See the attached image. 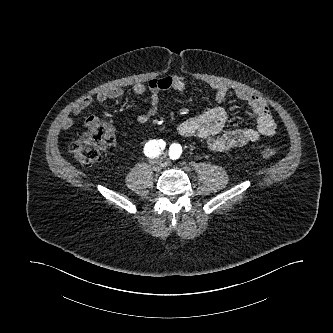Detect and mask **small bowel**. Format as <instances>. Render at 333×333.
Segmentation results:
<instances>
[{
  "mask_svg": "<svg viewBox=\"0 0 333 333\" xmlns=\"http://www.w3.org/2000/svg\"><path fill=\"white\" fill-rule=\"evenodd\" d=\"M211 88L215 92V100L222 103L229 93V88L224 84L213 83ZM174 90L182 93L186 90V82L182 76L166 75L151 79L147 85L137 83L133 87V92L137 95L149 94V107L146 111L138 115L140 123H146L158 113L160 92ZM235 96L244 101L256 116L255 128H241L223 132L227 114L221 107L210 108L203 113L183 121L178 126V133L184 137H199L203 139L210 150L214 153H224L233 148L241 147L247 143L255 142L262 136H272L277 129V124L272 117L271 111L266 102L258 95L246 90L236 89ZM122 89L113 87L99 92L95 101L104 103L108 99H119L123 96ZM90 96L82 98L72 109L73 115H80L93 103ZM74 121L71 117H66L62 121V127L68 129L72 127ZM83 124L88 130L95 126H101V122L95 116H88ZM106 128L114 132L110 124H105Z\"/></svg>",
  "mask_w": 333,
  "mask_h": 333,
  "instance_id": "c3829d8e",
  "label": "small bowel"
}]
</instances>
